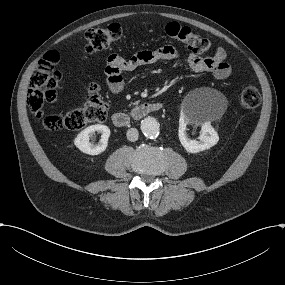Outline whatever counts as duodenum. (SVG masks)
Listing matches in <instances>:
<instances>
[{"mask_svg":"<svg viewBox=\"0 0 285 285\" xmlns=\"http://www.w3.org/2000/svg\"><path fill=\"white\" fill-rule=\"evenodd\" d=\"M164 105L160 102H143L133 107L129 112H116L112 115V122L119 128H125L133 120H140L149 113L160 112Z\"/></svg>","mask_w":285,"mask_h":285,"instance_id":"duodenum-1","label":"duodenum"}]
</instances>
